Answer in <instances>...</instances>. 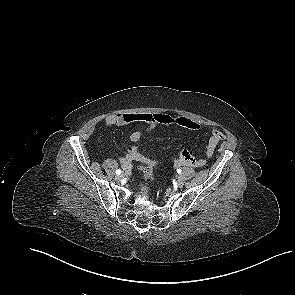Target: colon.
<instances>
[{
  "label": "colon",
  "mask_w": 295,
  "mask_h": 295,
  "mask_svg": "<svg viewBox=\"0 0 295 295\" xmlns=\"http://www.w3.org/2000/svg\"><path fill=\"white\" fill-rule=\"evenodd\" d=\"M180 154V153H179ZM153 163L151 161H145L142 166V171L145 177H149L152 171Z\"/></svg>",
  "instance_id": "5ec220e1"
}]
</instances>
